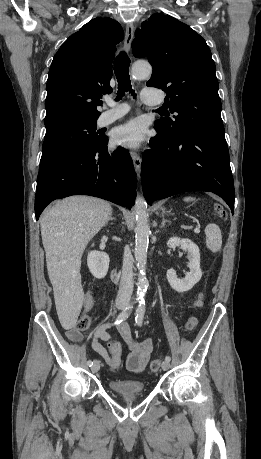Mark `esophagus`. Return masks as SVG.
I'll return each mask as SVG.
<instances>
[{"mask_svg":"<svg viewBox=\"0 0 261 459\" xmlns=\"http://www.w3.org/2000/svg\"><path fill=\"white\" fill-rule=\"evenodd\" d=\"M133 36H134V25L132 23H128L126 26L125 38H124V49L126 50V52H129L131 49ZM131 157L133 160L135 172L137 176L139 177L140 172H141L142 159L137 152H132Z\"/></svg>","mask_w":261,"mask_h":459,"instance_id":"34e87169","label":"esophagus"}]
</instances>
